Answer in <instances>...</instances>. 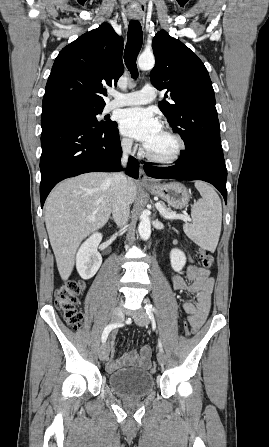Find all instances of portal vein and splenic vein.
<instances>
[{"label": "portal vein and splenic vein", "mask_w": 269, "mask_h": 447, "mask_svg": "<svg viewBox=\"0 0 269 447\" xmlns=\"http://www.w3.org/2000/svg\"><path fill=\"white\" fill-rule=\"evenodd\" d=\"M155 208H157L158 212H160L161 216H164L165 220H183V222H191L190 216H187V214H175V212H167L166 208L162 206V204H159V202H156ZM92 222H95V220H92Z\"/></svg>", "instance_id": "obj_1"}]
</instances>
